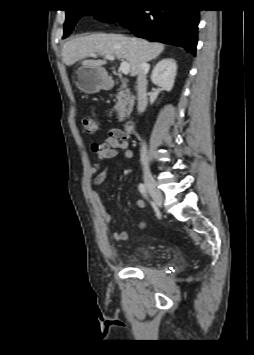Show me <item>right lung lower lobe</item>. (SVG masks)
Returning <instances> with one entry per match:
<instances>
[{
	"instance_id": "obj_1",
	"label": "right lung lower lobe",
	"mask_w": 254,
	"mask_h": 355,
	"mask_svg": "<svg viewBox=\"0 0 254 355\" xmlns=\"http://www.w3.org/2000/svg\"><path fill=\"white\" fill-rule=\"evenodd\" d=\"M193 0H166L156 3L157 8L146 13L147 4L133 6L117 22L145 39L165 44L180 45L195 55L199 9Z\"/></svg>"
}]
</instances>
